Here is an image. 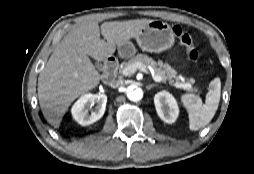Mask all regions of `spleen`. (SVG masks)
<instances>
[{
	"instance_id": "obj_1",
	"label": "spleen",
	"mask_w": 254,
	"mask_h": 174,
	"mask_svg": "<svg viewBox=\"0 0 254 174\" xmlns=\"http://www.w3.org/2000/svg\"><path fill=\"white\" fill-rule=\"evenodd\" d=\"M209 87L204 104L201 98L194 94L181 96V102L188 112L189 128L192 131L205 127L212 120L218 109L221 96L220 79L215 78L211 81Z\"/></svg>"
}]
</instances>
